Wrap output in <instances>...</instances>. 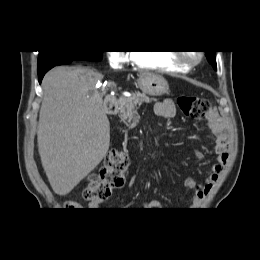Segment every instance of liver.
<instances>
[{
    "label": "liver",
    "mask_w": 260,
    "mask_h": 260,
    "mask_svg": "<svg viewBox=\"0 0 260 260\" xmlns=\"http://www.w3.org/2000/svg\"><path fill=\"white\" fill-rule=\"evenodd\" d=\"M102 78L91 69L65 66L43 78L38 151L50 185L60 196L70 193L108 152L110 123L98 89Z\"/></svg>",
    "instance_id": "liver-1"
}]
</instances>
